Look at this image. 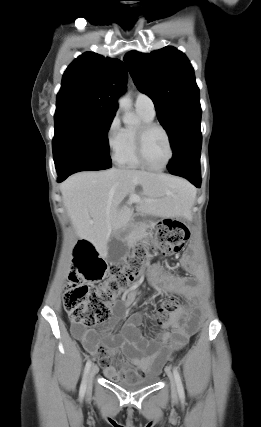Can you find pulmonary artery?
I'll use <instances>...</instances> for the list:
<instances>
[{
    "label": "pulmonary artery",
    "mask_w": 261,
    "mask_h": 427,
    "mask_svg": "<svg viewBox=\"0 0 261 427\" xmlns=\"http://www.w3.org/2000/svg\"><path fill=\"white\" fill-rule=\"evenodd\" d=\"M135 107L136 110L143 112L150 118H154L155 116V106L152 99L144 94L138 93L135 98Z\"/></svg>",
    "instance_id": "1"
}]
</instances>
